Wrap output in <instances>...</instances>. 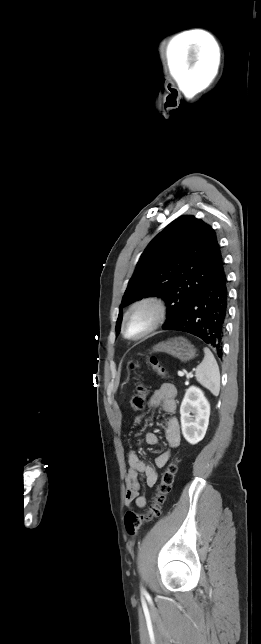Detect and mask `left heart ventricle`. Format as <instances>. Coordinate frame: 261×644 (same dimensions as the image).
Returning a JSON list of instances; mask_svg holds the SVG:
<instances>
[{"label":"left heart ventricle","instance_id":"obj_1","mask_svg":"<svg viewBox=\"0 0 261 644\" xmlns=\"http://www.w3.org/2000/svg\"><path fill=\"white\" fill-rule=\"evenodd\" d=\"M153 314L147 307L135 310L129 318L127 332L130 336H135L144 331L152 321Z\"/></svg>","mask_w":261,"mask_h":644}]
</instances>
